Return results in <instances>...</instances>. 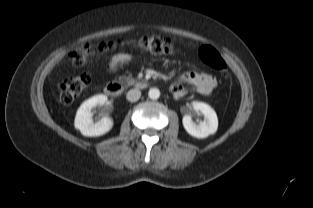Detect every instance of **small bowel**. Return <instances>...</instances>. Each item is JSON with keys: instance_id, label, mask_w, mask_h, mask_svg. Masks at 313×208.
Segmentation results:
<instances>
[{"instance_id": "obj_1", "label": "small bowel", "mask_w": 313, "mask_h": 208, "mask_svg": "<svg viewBox=\"0 0 313 208\" xmlns=\"http://www.w3.org/2000/svg\"><path fill=\"white\" fill-rule=\"evenodd\" d=\"M131 60V56L127 53H118L112 57L109 63V70L117 71L121 66ZM216 81L213 76L194 71H186L181 74L170 86L172 95L181 98L187 95L191 87L196 93L208 96L214 89Z\"/></svg>"}]
</instances>
